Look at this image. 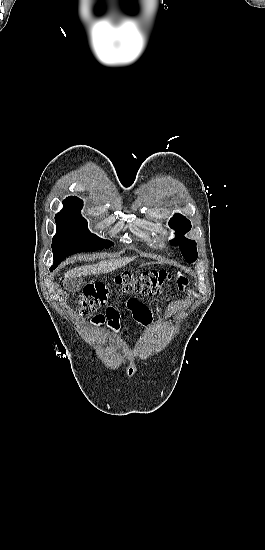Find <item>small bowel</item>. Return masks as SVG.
Wrapping results in <instances>:
<instances>
[{"mask_svg":"<svg viewBox=\"0 0 265 550\" xmlns=\"http://www.w3.org/2000/svg\"><path fill=\"white\" fill-rule=\"evenodd\" d=\"M130 302L136 303L137 301L131 300ZM130 310L132 311L134 316L139 315L143 321L147 320L149 312L144 304L138 302V304L133 306ZM112 321H115V319H113Z\"/></svg>","mask_w":265,"mask_h":550,"instance_id":"obj_1","label":"small bowel"}]
</instances>
